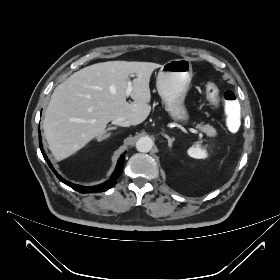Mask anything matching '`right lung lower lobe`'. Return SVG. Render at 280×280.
<instances>
[{"label":"right lung lower lobe","instance_id":"obj_1","mask_svg":"<svg viewBox=\"0 0 280 280\" xmlns=\"http://www.w3.org/2000/svg\"><path fill=\"white\" fill-rule=\"evenodd\" d=\"M41 133L39 130V145H40V149L41 152L43 154L44 159L47 161L49 167L52 169V171L55 173V175L57 176V178L63 182L64 184L70 186L71 188H73L74 190L80 192V193H97V192H104L107 191L108 189L112 188L115 184L116 181L118 179V177L120 176V174L122 173L123 167H124V161H125V154L126 152H124V154H122L118 160L117 166L113 172V174L111 175L110 179L105 181L102 184L99 185H95V186H81L78 184H73L70 183L68 181H66L64 178H62L59 174H57V172L54 170L52 164L50 163V161L48 160V157L46 156L44 150L42 149V142H41Z\"/></svg>","mask_w":280,"mask_h":280}]
</instances>
